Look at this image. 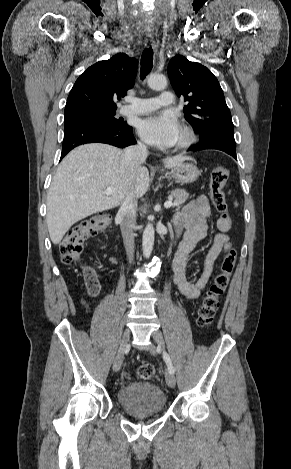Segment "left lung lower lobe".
Segmentation results:
<instances>
[{"mask_svg": "<svg viewBox=\"0 0 291 469\" xmlns=\"http://www.w3.org/2000/svg\"><path fill=\"white\" fill-rule=\"evenodd\" d=\"M203 149H218L228 153L229 155L233 156L235 159L236 151H235V139L231 136H224V135H217L210 137L206 140L200 141L197 146L190 147L189 151H198Z\"/></svg>", "mask_w": 291, "mask_h": 469, "instance_id": "left-lung-lower-lobe-1", "label": "left lung lower lobe"}]
</instances>
